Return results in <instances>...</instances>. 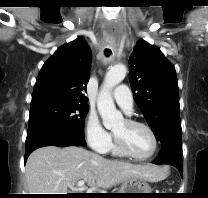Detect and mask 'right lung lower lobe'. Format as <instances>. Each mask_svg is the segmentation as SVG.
I'll return each mask as SVG.
<instances>
[{
    "mask_svg": "<svg viewBox=\"0 0 208 198\" xmlns=\"http://www.w3.org/2000/svg\"><path fill=\"white\" fill-rule=\"evenodd\" d=\"M86 146L84 137L63 128H47L36 131L27 135L25 143V158L26 162L28 156L35 149L44 146Z\"/></svg>",
    "mask_w": 208,
    "mask_h": 198,
    "instance_id": "98d812e1",
    "label": "right lung lower lobe"
}]
</instances>
